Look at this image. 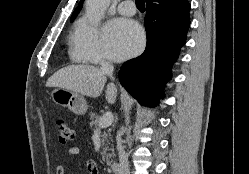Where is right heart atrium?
Wrapping results in <instances>:
<instances>
[{
  "instance_id": "1",
  "label": "right heart atrium",
  "mask_w": 249,
  "mask_h": 174,
  "mask_svg": "<svg viewBox=\"0 0 249 174\" xmlns=\"http://www.w3.org/2000/svg\"><path fill=\"white\" fill-rule=\"evenodd\" d=\"M74 53L78 59L86 63H103L104 53L100 29L84 21L80 24L74 40Z\"/></svg>"
}]
</instances>
